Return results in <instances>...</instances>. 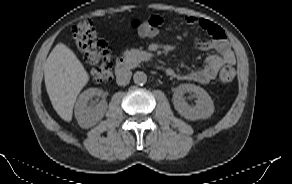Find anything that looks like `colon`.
Returning a JSON list of instances; mask_svg holds the SVG:
<instances>
[{"mask_svg":"<svg viewBox=\"0 0 292 184\" xmlns=\"http://www.w3.org/2000/svg\"><path fill=\"white\" fill-rule=\"evenodd\" d=\"M133 26L145 38H155L160 33L161 22L153 15L147 19L137 20ZM73 38L77 49L85 60L93 65L90 78L97 83L108 82L113 77V59L107 43L97 37L91 21L84 20L73 28ZM236 75L235 68L231 65L224 66L219 79L222 83L231 82Z\"/></svg>","mask_w":292,"mask_h":184,"instance_id":"obj_1","label":"colon"}]
</instances>
